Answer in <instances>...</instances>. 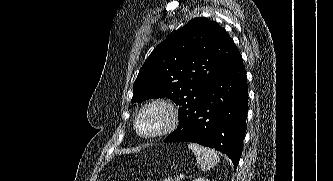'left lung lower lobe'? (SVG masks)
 <instances>
[{"instance_id":"1","label":"left lung lower lobe","mask_w":333,"mask_h":181,"mask_svg":"<svg viewBox=\"0 0 333 181\" xmlns=\"http://www.w3.org/2000/svg\"><path fill=\"white\" fill-rule=\"evenodd\" d=\"M248 92L239 53L205 88L201 101L179 116L180 123L164 142H194L226 154L236 169L246 132Z\"/></svg>"}]
</instances>
